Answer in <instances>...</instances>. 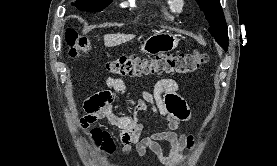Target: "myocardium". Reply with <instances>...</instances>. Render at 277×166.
<instances>
[{"label": "myocardium", "instance_id": "f54148a6", "mask_svg": "<svg viewBox=\"0 0 277 166\" xmlns=\"http://www.w3.org/2000/svg\"><path fill=\"white\" fill-rule=\"evenodd\" d=\"M170 4L174 11L181 12L185 7V0H170Z\"/></svg>", "mask_w": 277, "mask_h": 166}]
</instances>
